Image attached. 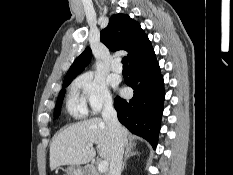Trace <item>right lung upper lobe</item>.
I'll return each instance as SVG.
<instances>
[{
	"label": "right lung upper lobe",
	"mask_w": 233,
	"mask_h": 175,
	"mask_svg": "<svg viewBox=\"0 0 233 175\" xmlns=\"http://www.w3.org/2000/svg\"><path fill=\"white\" fill-rule=\"evenodd\" d=\"M100 40L111 51L125 50L129 52V63L153 50L151 42L139 23L125 14H115L110 18L108 26L100 33ZM91 57V49L87 48L76 58L64 81L72 80L81 73L89 64Z\"/></svg>",
	"instance_id": "cb5924a9"
}]
</instances>
